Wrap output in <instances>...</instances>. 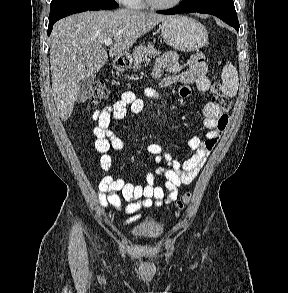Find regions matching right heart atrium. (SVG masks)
<instances>
[{"label":"right heart atrium","instance_id":"right-heart-atrium-1","mask_svg":"<svg viewBox=\"0 0 288 293\" xmlns=\"http://www.w3.org/2000/svg\"><path fill=\"white\" fill-rule=\"evenodd\" d=\"M117 2L121 3V4H124V5H128V3L131 1V0H116Z\"/></svg>","mask_w":288,"mask_h":293}]
</instances>
